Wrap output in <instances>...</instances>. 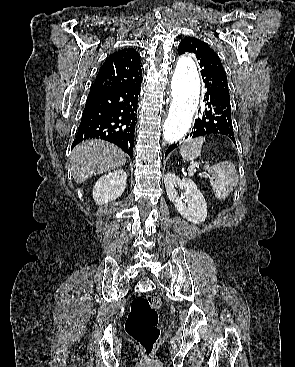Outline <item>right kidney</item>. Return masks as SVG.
<instances>
[{
	"instance_id": "right-kidney-1",
	"label": "right kidney",
	"mask_w": 295,
	"mask_h": 367,
	"mask_svg": "<svg viewBox=\"0 0 295 367\" xmlns=\"http://www.w3.org/2000/svg\"><path fill=\"white\" fill-rule=\"evenodd\" d=\"M126 172L118 169L102 176L93 189V199L97 205L116 200L126 188Z\"/></svg>"
}]
</instances>
